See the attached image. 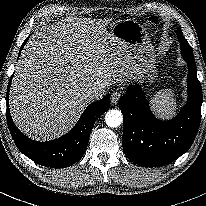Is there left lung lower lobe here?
Wrapping results in <instances>:
<instances>
[{"label":"left lung lower lobe","mask_w":206,"mask_h":206,"mask_svg":"<svg viewBox=\"0 0 206 206\" xmlns=\"http://www.w3.org/2000/svg\"><path fill=\"white\" fill-rule=\"evenodd\" d=\"M188 64V101L179 114L167 121L154 117L139 86H129L119 101L123 113L122 144L126 156L142 167L166 165L192 145L197 134L202 105V88L194 56L181 48Z\"/></svg>","instance_id":"0a47b994"}]
</instances>
